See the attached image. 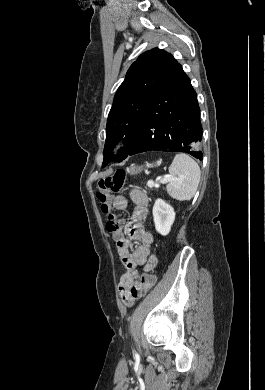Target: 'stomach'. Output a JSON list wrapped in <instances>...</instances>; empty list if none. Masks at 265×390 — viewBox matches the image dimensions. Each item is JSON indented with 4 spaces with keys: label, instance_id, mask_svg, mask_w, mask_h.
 Listing matches in <instances>:
<instances>
[{
    "label": "stomach",
    "instance_id": "1",
    "mask_svg": "<svg viewBox=\"0 0 265 390\" xmlns=\"http://www.w3.org/2000/svg\"><path fill=\"white\" fill-rule=\"evenodd\" d=\"M146 166L147 167H153V166H155V164L146 163ZM142 170H143L142 166H139V167L131 166V167H128L126 171H127V173L133 175V174L140 173Z\"/></svg>",
    "mask_w": 265,
    "mask_h": 390
}]
</instances>
